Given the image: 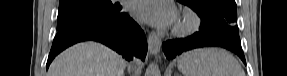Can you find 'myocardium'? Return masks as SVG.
I'll list each match as a JSON object with an SVG mask.
<instances>
[{
    "instance_id": "obj_1",
    "label": "myocardium",
    "mask_w": 287,
    "mask_h": 76,
    "mask_svg": "<svg viewBox=\"0 0 287 76\" xmlns=\"http://www.w3.org/2000/svg\"><path fill=\"white\" fill-rule=\"evenodd\" d=\"M201 25L200 16L193 10L185 9L173 28V34L178 37H185L196 32Z\"/></svg>"
}]
</instances>
